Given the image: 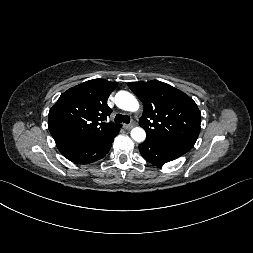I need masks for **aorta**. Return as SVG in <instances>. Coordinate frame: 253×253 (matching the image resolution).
Returning <instances> with one entry per match:
<instances>
[{
    "label": "aorta",
    "instance_id": "762f6f07",
    "mask_svg": "<svg viewBox=\"0 0 253 253\" xmlns=\"http://www.w3.org/2000/svg\"><path fill=\"white\" fill-rule=\"evenodd\" d=\"M115 104L118 108L125 111H136L139 108L137 99L127 91L117 92ZM131 137L137 142H143L146 138V133L141 127H135L131 130Z\"/></svg>",
    "mask_w": 253,
    "mask_h": 253
}]
</instances>
